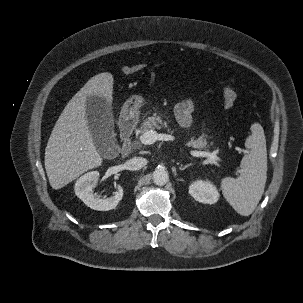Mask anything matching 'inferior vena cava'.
Wrapping results in <instances>:
<instances>
[{
    "mask_svg": "<svg viewBox=\"0 0 303 303\" xmlns=\"http://www.w3.org/2000/svg\"><path fill=\"white\" fill-rule=\"evenodd\" d=\"M147 164V160L142 157H134L132 159H129L126 163V169L135 171V170H140Z\"/></svg>",
    "mask_w": 303,
    "mask_h": 303,
    "instance_id": "602c4592",
    "label": "inferior vena cava"
}]
</instances>
